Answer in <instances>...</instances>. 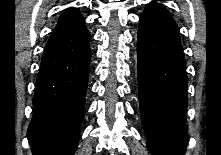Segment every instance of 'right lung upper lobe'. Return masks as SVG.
I'll return each mask as SVG.
<instances>
[{
	"label": "right lung upper lobe",
	"mask_w": 221,
	"mask_h": 155,
	"mask_svg": "<svg viewBox=\"0 0 221 155\" xmlns=\"http://www.w3.org/2000/svg\"><path fill=\"white\" fill-rule=\"evenodd\" d=\"M84 23L83 16L76 8L67 9L59 18L54 30L66 29Z\"/></svg>",
	"instance_id": "cb5924a9"
}]
</instances>
